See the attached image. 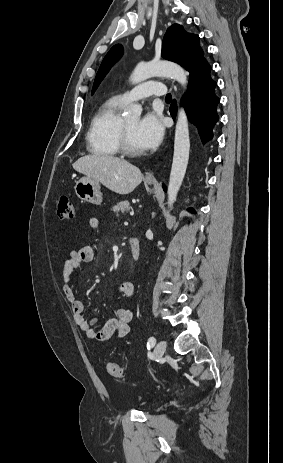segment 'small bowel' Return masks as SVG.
Instances as JSON below:
<instances>
[{"label": "small bowel", "mask_w": 283, "mask_h": 463, "mask_svg": "<svg viewBox=\"0 0 283 463\" xmlns=\"http://www.w3.org/2000/svg\"><path fill=\"white\" fill-rule=\"evenodd\" d=\"M89 227L97 230L100 221L96 217H91L88 221ZM94 248L90 245L82 246L77 250L71 251L68 259L65 261L62 270L63 291L69 302L75 323L83 330L87 337L92 341H106L113 336L125 337L130 331V322L132 320V311L127 307H120L116 311V317L110 318L100 330H95L97 322L95 317L88 319L84 314V303L78 299L73 285L72 274L83 264L89 263L94 259ZM118 293L121 297L131 298L135 293L134 284L123 282L120 284Z\"/></svg>", "instance_id": "small-bowel-1"}]
</instances>
